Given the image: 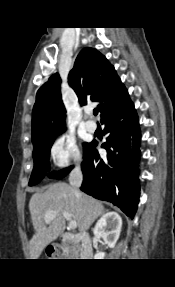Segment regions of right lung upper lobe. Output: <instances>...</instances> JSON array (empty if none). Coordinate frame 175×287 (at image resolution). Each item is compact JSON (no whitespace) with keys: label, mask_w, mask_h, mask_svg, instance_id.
Instances as JSON below:
<instances>
[{"label":"right lung upper lobe","mask_w":175,"mask_h":287,"mask_svg":"<svg viewBox=\"0 0 175 287\" xmlns=\"http://www.w3.org/2000/svg\"><path fill=\"white\" fill-rule=\"evenodd\" d=\"M61 79L54 74L37 92L32 115V142H38L64 131L66 110L61 100ZM68 83L79 102H98L101 118L128 101L129 94L114 67L105 56L92 48H84L68 75Z\"/></svg>","instance_id":"obj_1"}]
</instances>
